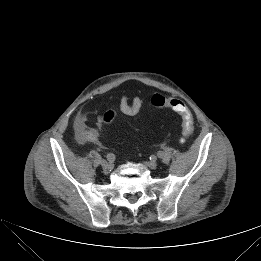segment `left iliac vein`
Segmentation results:
<instances>
[{
    "label": "left iliac vein",
    "instance_id": "4c4485c4",
    "mask_svg": "<svg viewBox=\"0 0 261 261\" xmlns=\"http://www.w3.org/2000/svg\"><path fill=\"white\" fill-rule=\"evenodd\" d=\"M146 166L151 169H155L157 167V162L155 160H152V161L146 163Z\"/></svg>",
    "mask_w": 261,
    "mask_h": 261
}]
</instances>
